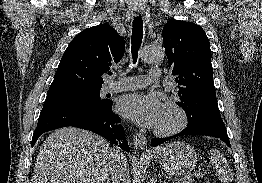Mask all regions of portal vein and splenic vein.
<instances>
[{
  "instance_id": "18ae733b",
  "label": "portal vein and splenic vein",
  "mask_w": 262,
  "mask_h": 183,
  "mask_svg": "<svg viewBox=\"0 0 262 183\" xmlns=\"http://www.w3.org/2000/svg\"><path fill=\"white\" fill-rule=\"evenodd\" d=\"M202 174H203L202 172H199V173L197 174V176L202 175ZM179 181H180V180H177V181H175V182H173V183H179Z\"/></svg>"
}]
</instances>
